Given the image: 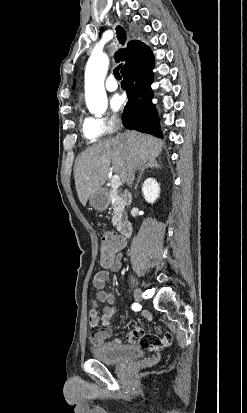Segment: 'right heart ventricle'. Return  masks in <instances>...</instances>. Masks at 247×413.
I'll list each match as a JSON object with an SVG mask.
<instances>
[{
	"label": "right heart ventricle",
	"instance_id": "right-heart-ventricle-1",
	"mask_svg": "<svg viewBox=\"0 0 247 413\" xmlns=\"http://www.w3.org/2000/svg\"><path fill=\"white\" fill-rule=\"evenodd\" d=\"M89 127V125L83 127V135L89 142L95 143L99 139L100 133L91 132Z\"/></svg>",
	"mask_w": 247,
	"mask_h": 413
}]
</instances>
